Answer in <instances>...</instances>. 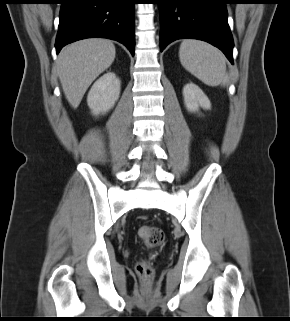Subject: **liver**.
<instances>
[{"label": "liver", "mask_w": 290, "mask_h": 321, "mask_svg": "<svg viewBox=\"0 0 290 321\" xmlns=\"http://www.w3.org/2000/svg\"><path fill=\"white\" fill-rule=\"evenodd\" d=\"M115 46L107 39H83L65 46L58 55L56 69L66 99L77 108L91 83L115 59Z\"/></svg>", "instance_id": "obj_1"}]
</instances>
